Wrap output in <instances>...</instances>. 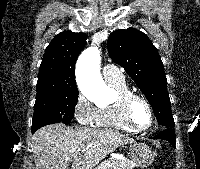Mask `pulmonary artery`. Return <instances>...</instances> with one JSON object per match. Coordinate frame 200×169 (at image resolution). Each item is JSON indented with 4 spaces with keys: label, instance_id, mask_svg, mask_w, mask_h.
Instances as JSON below:
<instances>
[{
    "label": "pulmonary artery",
    "instance_id": "e3ab8cb5",
    "mask_svg": "<svg viewBox=\"0 0 200 169\" xmlns=\"http://www.w3.org/2000/svg\"><path fill=\"white\" fill-rule=\"evenodd\" d=\"M102 75L107 83L119 82L124 80V76L121 73V71L115 65L112 64H106L103 66Z\"/></svg>",
    "mask_w": 200,
    "mask_h": 169
}]
</instances>
